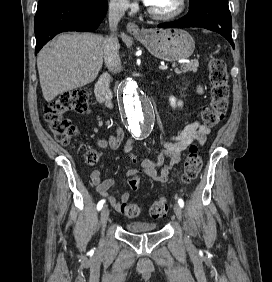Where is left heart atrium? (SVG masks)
I'll list each match as a JSON object with an SVG mask.
<instances>
[{
	"label": "left heart atrium",
	"instance_id": "39dd6f15",
	"mask_svg": "<svg viewBox=\"0 0 272 282\" xmlns=\"http://www.w3.org/2000/svg\"><path fill=\"white\" fill-rule=\"evenodd\" d=\"M146 5H149L150 0H142Z\"/></svg>",
	"mask_w": 272,
	"mask_h": 282
}]
</instances>
